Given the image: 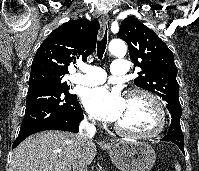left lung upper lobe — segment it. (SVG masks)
<instances>
[{
    "mask_svg": "<svg viewBox=\"0 0 199 171\" xmlns=\"http://www.w3.org/2000/svg\"><path fill=\"white\" fill-rule=\"evenodd\" d=\"M117 37L129 48L130 59L142 69L135 85L162 97L172 117L181 118L177 67L166 44L147 26L133 16L120 26Z\"/></svg>",
    "mask_w": 199,
    "mask_h": 171,
    "instance_id": "1",
    "label": "left lung upper lobe"
}]
</instances>
